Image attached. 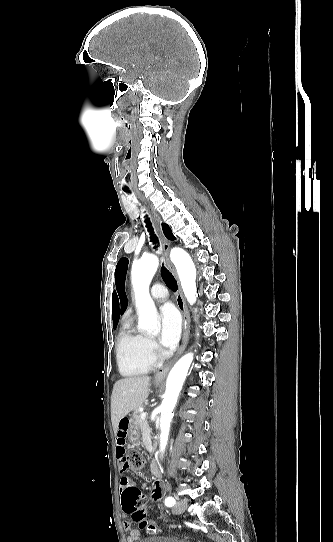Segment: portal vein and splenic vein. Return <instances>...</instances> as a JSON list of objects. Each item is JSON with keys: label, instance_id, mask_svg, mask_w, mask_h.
Wrapping results in <instances>:
<instances>
[{"label": "portal vein and splenic vein", "instance_id": "obj_1", "mask_svg": "<svg viewBox=\"0 0 333 542\" xmlns=\"http://www.w3.org/2000/svg\"><path fill=\"white\" fill-rule=\"evenodd\" d=\"M147 416V412H143V414H141V420H145Z\"/></svg>", "mask_w": 333, "mask_h": 542}]
</instances>
